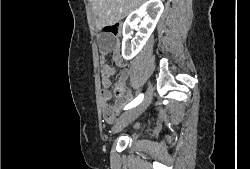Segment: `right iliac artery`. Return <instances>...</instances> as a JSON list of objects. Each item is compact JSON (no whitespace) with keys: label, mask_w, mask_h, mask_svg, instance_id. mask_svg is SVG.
<instances>
[{"label":"right iliac artery","mask_w":250,"mask_h":169,"mask_svg":"<svg viewBox=\"0 0 250 169\" xmlns=\"http://www.w3.org/2000/svg\"><path fill=\"white\" fill-rule=\"evenodd\" d=\"M144 98L143 94H140L138 97H136L131 103H129L128 105L125 106V110L133 108L135 106H137Z\"/></svg>","instance_id":"right-iliac-artery-1"}]
</instances>
